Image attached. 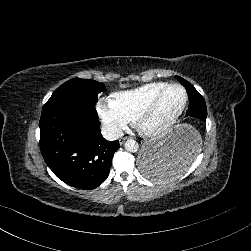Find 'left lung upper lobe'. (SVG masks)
<instances>
[{
	"instance_id": "obj_1",
	"label": "left lung upper lobe",
	"mask_w": 251,
	"mask_h": 251,
	"mask_svg": "<svg viewBox=\"0 0 251 251\" xmlns=\"http://www.w3.org/2000/svg\"><path fill=\"white\" fill-rule=\"evenodd\" d=\"M176 78L180 81V83L185 86L187 92L192 93L195 95V98H200L203 99V97L198 93V91L193 87L192 84H190L188 81H186L185 79L176 76Z\"/></svg>"
}]
</instances>
